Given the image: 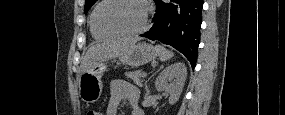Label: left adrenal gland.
<instances>
[{
    "label": "left adrenal gland",
    "mask_w": 285,
    "mask_h": 115,
    "mask_svg": "<svg viewBox=\"0 0 285 115\" xmlns=\"http://www.w3.org/2000/svg\"><path fill=\"white\" fill-rule=\"evenodd\" d=\"M145 90H146V92H148L147 81L145 82Z\"/></svg>",
    "instance_id": "left-adrenal-gland-1"
}]
</instances>
